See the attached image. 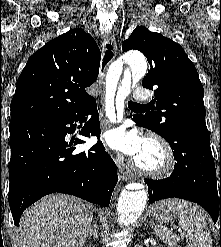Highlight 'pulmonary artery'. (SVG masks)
Wrapping results in <instances>:
<instances>
[{
    "label": "pulmonary artery",
    "mask_w": 221,
    "mask_h": 247,
    "mask_svg": "<svg viewBox=\"0 0 221 247\" xmlns=\"http://www.w3.org/2000/svg\"><path fill=\"white\" fill-rule=\"evenodd\" d=\"M133 97L136 99V100H140V101H144V100H147L148 97H149V94L147 91L145 90H135L133 92Z\"/></svg>",
    "instance_id": "e3ab8cb5"
}]
</instances>
